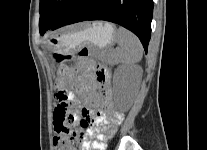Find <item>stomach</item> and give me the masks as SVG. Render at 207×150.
<instances>
[{"label":"stomach","mask_w":207,"mask_h":150,"mask_svg":"<svg viewBox=\"0 0 207 150\" xmlns=\"http://www.w3.org/2000/svg\"><path fill=\"white\" fill-rule=\"evenodd\" d=\"M115 40V26L108 22L96 21L82 26L69 27L51 34L47 43L51 51L65 55L76 53L82 46L93 51H101Z\"/></svg>","instance_id":"obj_1"}]
</instances>
